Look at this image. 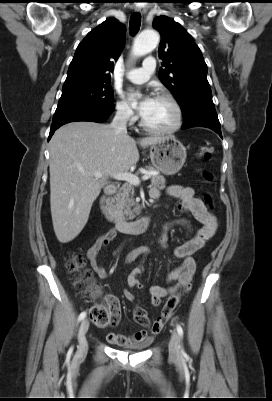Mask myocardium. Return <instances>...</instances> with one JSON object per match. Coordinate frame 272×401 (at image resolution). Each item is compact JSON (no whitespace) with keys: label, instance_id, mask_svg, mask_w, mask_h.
Returning a JSON list of instances; mask_svg holds the SVG:
<instances>
[{"label":"myocardium","instance_id":"myocardium-1","mask_svg":"<svg viewBox=\"0 0 272 401\" xmlns=\"http://www.w3.org/2000/svg\"><path fill=\"white\" fill-rule=\"evenodd\" d=\"M155 98L164 99L171 103L175 111L174 123L167 128H153L148 126L143 118H141L139 122L140 127L148 133L158 135L171 134L179 130L183 124V110L179 101L172 94L165 92L158 93Z\"/></svg>","mask_w":272,"mask_h":401}]
</instances>
